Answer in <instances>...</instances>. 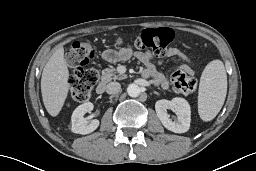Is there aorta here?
I'll list each match as a JSON object with an SVG mask.
<instances>
[{
  "label": "aorta",
  "mask_w": 256,
  "mask_h": 171,
  "mask_svg": "<svg viewBox=\"0 0 256 171\" xmlns=\"http://www.w3.org/2000/svg\"><path fill=\"white\" fill-rule=\"evenodd\" d=\"M127 93L130 97H138L140 94V87L137 84H130L127 88Z\"/></svg>",
  "instance_id": "1"
}]
</instances>
